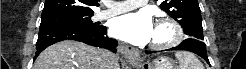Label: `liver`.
Here are the masks:
<instances>
[{"mask_svg":"<svg viewBox=\"0 0 246 69\" xmlns=\"http://www.w3.org/2000/svg\"><path fill=\"white\" fill-rule=\"evenodd\" d=\"M109 51L76 41H62L46 48L34 69H107ZM114 69H120L119 63Z\"/></svg>","mask_w":246,"mask_h":69,"instance_id":"liver-1","label":"liver"}]
</instances>
